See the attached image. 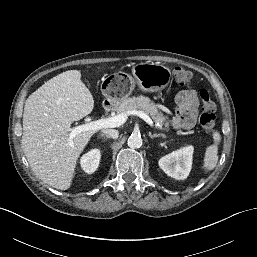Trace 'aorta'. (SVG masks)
<instances>
[{
	"label": "aorta",
	"instance_id": "obj_1",
	"mask_svg": "<svg viewBox=\"0 0 257 257\" xmlns=\"http://www.w3.org/2000/svg\"><path fill=\"white\" fill-rule=\"evenodd\" d=\"M127 144L133 149L140 148L142 146V138L139 135L133 134L128 138Z\"/></svg>",
	"mask_w": 257,
	"mask_h": 257
}]
</instances>
